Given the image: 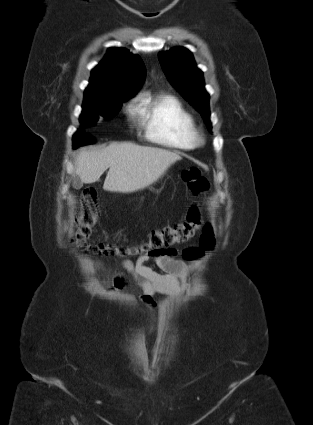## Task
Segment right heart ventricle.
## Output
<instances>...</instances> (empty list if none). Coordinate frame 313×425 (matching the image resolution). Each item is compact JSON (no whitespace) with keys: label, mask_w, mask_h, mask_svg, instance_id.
<instances>
[{"label":"right heart ventricle","mask_w":313,"mask_h":425,"mask_svg":"<svg viewBox=\"0 0 313 425\" xmlns=\"http://www.w3.org/2000/svg\"><path fill=\"white\" fill-rule=\"evenodd\" d=\"M135 113L149 141L179 150L195 147V121L175 97L143 94L138 100Z\"/></svg>","instance_id":"obj_1"}]
</instances>
